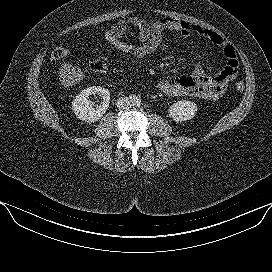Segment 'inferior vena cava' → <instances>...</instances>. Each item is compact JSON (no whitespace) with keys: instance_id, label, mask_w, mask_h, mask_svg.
<instances>
[{"instance_id":"1","label":"inferior vena cava","mask_w":272,"mask_h":272,"mask_svg":"<svg viewBox=\"0 0 272 272\" xmlns=\"http://www.w3.org/2000/svg\"><path fill=\"white\" fill-rule=\"evenodd\" d=\"M117 107L119 109H129L131 107V102H130V99L128 97H120L118 100H117V103H116Z\"/></svg>"}]
</instances>
